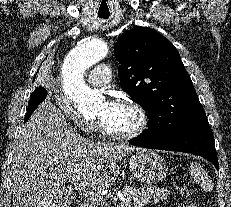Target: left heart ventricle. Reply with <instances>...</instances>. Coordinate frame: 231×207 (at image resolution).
<instances>
[{"label":"left heart ventricle","instance_id":"b2bd125f","mask_svg":"<svg viewBox=\"0 0 231 207\" xmlns=\"http://www.w3.org/2000/svg\"><path fill=\"white\" fill-rule=\"evenodd\" d=\"M106 103H102L98 109V116L104 113ZM107 128L113 132L125 133L132 131L138 125L136 112L126 104L114 103L113 108L106 118L101 119Z\"/></svg>","mask_w":231,"mask_h":207}]
</instances>
